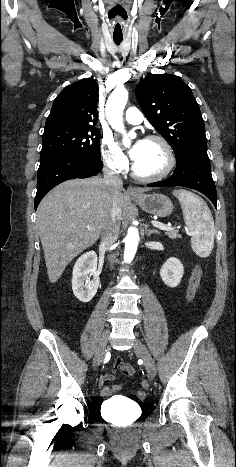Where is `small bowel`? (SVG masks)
Instances as JSON below:
<instances>
[{"label":"small bowel","instance_id":"obj_1","mask_svg":"<svg viewBox=\"0 0 236 467\" xmlns=\"http://www.w3.org/2000/svg\"><path fill=\"white\" fill-rule=\"evenodd\" d=\"M188 291H189V289H188ZM117 370H121L122 373L126 377H132L134 375V373H135L134 367L131 364L124 362V360L121 357H116L114 362H113L111 372L102 375L101 378H100V386H101V395L102 396L108 397L113 392L121 390V388H122L121 384H117V385H114L112 387L107 386V383L114 379V375H115V372Z\"/></svg>","mask_w":236,"mask_h":467}]
</instances>
